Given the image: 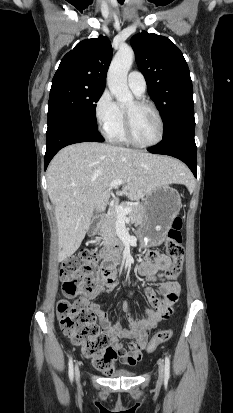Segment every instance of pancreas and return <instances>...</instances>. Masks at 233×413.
Masks as SVG:
<instances>
[{
  "mask_svg": "<svg viewBox=\"0 0 233 413\" xmlns=\"http://www.w3.org/2000/svg\"><path fill=\"white\" fill-rule=\"evenodd\" d=\"M120 206L123 208L131 207V211L127 214V218L131 223L139 224L143 221L144 211L141 205H129L123 203ZM117 219L118 216L116 211H112L110 214H108L101 220L98 233L100 237L96 238L98 242L103 240L102 244H106L109 241L115 242L117 244L119 243V240L117 239L115 234Z\"/></svg>",
  "mask_w": 233,
  "mask_h": 413,
  "instance_id": "1",
  "label": "pancreas"
}]
</instances>
